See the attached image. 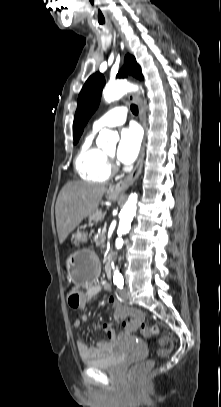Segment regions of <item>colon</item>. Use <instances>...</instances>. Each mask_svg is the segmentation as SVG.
Segmentation results:
<instances>
[{
  "instance_id": "1",
  "label": "colon",
  "mask_w": 221,
  "mask_h": 407,
  "mask_svg": "<svg viewBox=\"0 0 221 407\" xmlns=\"http://www.w3.org/2000/svg\"><path fill=\"white\" fill-rule=\"evenodd\" d=\"M87 288L80 286L78 291H72L67 297L66 303L69 306L70 311H82L85 304V294ZM112 316L118 318L119 321H123V327L128 330H138L148 338L154 337L158 333L156 326H147L144 324L145 315L142 309H135L134 305H117L115 310L112 311ZM163 344H167L168 347L158 351V356L166 357L173 348V343L170 338L164 337L162 339ZM153 366L151 360L143 361L133 365L129 370V380L133 385L141 383L146 373Z\"/></svg>"
}]
</instances>
